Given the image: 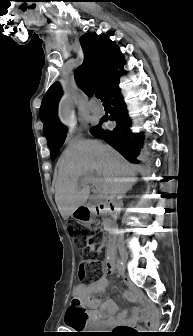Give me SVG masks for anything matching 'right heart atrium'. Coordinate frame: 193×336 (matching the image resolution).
Masks as SVG:
<instances>
[{"mask_svg":"<svg viewBox=\"0 0 193 336\" xmlns=\"http://www.w3.org/2000/svg\"><path fill=\"white\" fill-rule=\"evenodd\" d=\"M82 136V130L80 128H72L65 135V142L72 143L78 140Z\"/></svg>","mask_w":193,"mask_h":336,"instance_id":"d8ad5b80","label":"right heart atrium"}]
</instances>
